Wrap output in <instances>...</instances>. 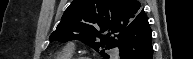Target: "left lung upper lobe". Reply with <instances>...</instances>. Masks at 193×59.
I'll list each match as a JSON object with an SVG mask.
<instances>
[{
    "instance_id": "obj_1",
    "label": "left lung upper lobe",
    "mask_w": 193,
    "mask_h": 59,
    "mask_svg": "<svg viewBox=\"0 0 193 59\" xmlns=\"http://www.w3.org/2000/svg\"><path fill=\"white\" fill-rule=\"evenodd\" d=\"M144 13L137 0H74L50 40L78 39L108 59L105 50L114 48L122 33Z\"/></svg>"
}]
</instances>
